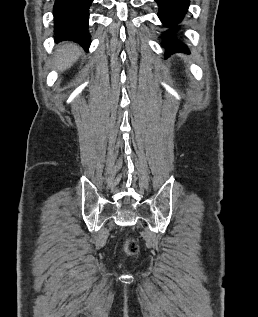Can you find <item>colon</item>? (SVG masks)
Here are the masks:
<instances>
[{
  "mask_svg": "<svg viewBox=\"0 0 258 317\" xmlns=\"http://www.w3.org/2000/svg\"><path fill=\"white\" fill-rule=\"evenodd\" d=\"M124 250L127 254L134 255L138 251V245L135 241L128 240V241H126V243L124 245Z\"/></svg>",
  "mask_w": 258,
  "mask_h": 317,
  "instance_id": "5ec220e1",
  "label": "colon"
}]
</instances>
